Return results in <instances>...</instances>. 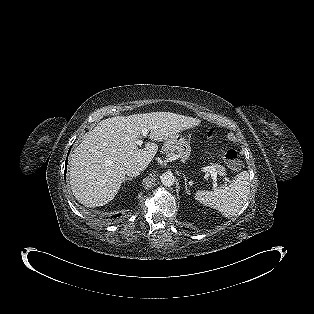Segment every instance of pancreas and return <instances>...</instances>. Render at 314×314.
<instances>
[{
	"label": "pancreas",
	"mask_w": 314,
	"mask_h": 314,
	"mask_svg": "<svg viewBox=\"0 0 314 314\" xmlns=\"http://www.w3.org/2000/svg\"><path fill=\"white\" fill-rule=\"evenodd\" d=\"M168 145H169V144H168L167 142L164 143V150L167 148ZM167 153H168V156H173V155H175V153H173V152H167ZM213 168H214V169L216 170V172H217L219 175H221V176L225 175V173H226V169H225L223 166H221V165L214 164V165H213Z\"/></svg>",
	"instance_id": "pancreas-1"
}]
</instances>
